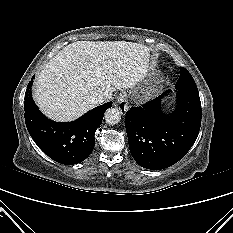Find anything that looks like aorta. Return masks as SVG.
Wrapping results in <instances>:
<instances>
[{
  "instance_id": "1",
  "label": "aorta",
  "mask_w": 233,
  "mask_h": 233,
  "mask_svg": "<svg viewBox=\"0 0 233 233\" xmlns=\"http://www.w3.org/2000/svg\"><path fill=\"white\" fill-rule=\"evenodd\" d=\"M105 121L109 125H116L121 120V113L116 108H110L105 112Z\"/></svg>"
}]
</instances>
